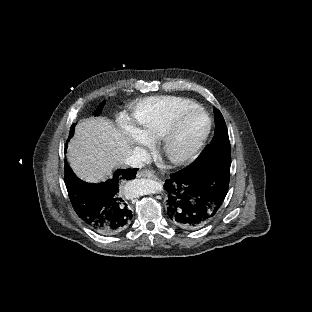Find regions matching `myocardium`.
Masks as SVG:
<instances>
[{"label": "myocardium", "instance_id": "1", "mask_svg": "<svg viewBox=\"0 0 312 312\" xmlns=\"http://www.w3.org/2000/svg\"><path fill=\"white\" fill-rule=\"evenodd\" d=\"M210 122L207 112L199 107L172 117L158 139L160 154L177 165L189 164L196 155L194 149H201L202 141L208 139L213 129Z\"/></svg>", "mask_w": 312, "mask_h": 312}]
</instances>
